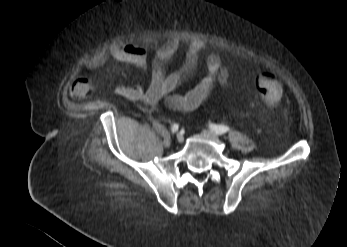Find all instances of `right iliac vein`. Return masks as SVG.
<instances>
[{"instance_id": "obj_1", "label": "right iliac vein", "mask_w": 347, "mask_h": 247, "mask_svg": "<svg viewBox=\"0 0 347 247\" xmlns=\"http://www.w3.org/2000/svg\"><path fill=\"white\" fill-rule=\"evenodd\" d=\"M176 139L179 143H181L184 140V136L181 133H178L176 136Z\"/></svg>"}]
</instances>
